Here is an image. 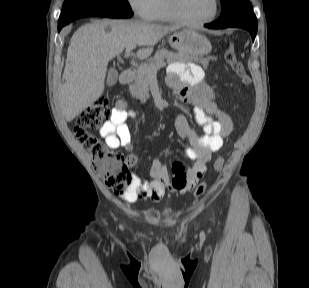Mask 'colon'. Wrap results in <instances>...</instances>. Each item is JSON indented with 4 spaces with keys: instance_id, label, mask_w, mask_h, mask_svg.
<instances>
[{
    "instance_id": "5ec220e1",
    "label": "colon",
    "mask_w": 309,
    "mask_h": 288,
    "mask_svg": "<svg viewBox=\"0 0 309 288\" xmlns=\"http://www.w3.org/2000/svg\"><path fill=\"white\" fill-rule=\"evenodd\" d=\"M224 58L241 82L249 85L250 78L233 46L225 50ZM111 112L109 98L105 95L99 96L78 115L74 134L79 144L90 154L93 167L104 185L116 194H124L130 190L132 185V176L128 170L126 158L120 152L113 151L91 132L98 128L111 115ZM223 163L224 156L218 157L213 165L214 169L220 170ZM206 187V181L200 182L195 190V196H202ZM170 190L173 191L171 186Z\"/></svg>"
}]
</instances>
